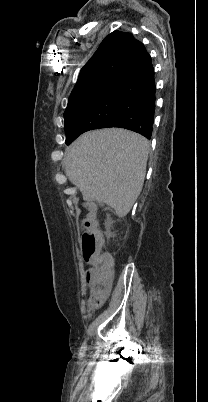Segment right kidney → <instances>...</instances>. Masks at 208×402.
<instances>
[{
    "instance_id": "obj_1",
    "label": "right kidney",
    "mask_w": 208,
    "mask_h": 402,
    "mask_svg": "<svg viewBox=\"0 0 208 402\" xmlns=\"http://www.w3.org/2000/svg\"><path fill=\"white\" fill-rule=\"evenodd\" d=\"M108 226H109V222H106V230H107V232H105V234H106L107 238H110L109 234H111V232H110Z\"/></svg>"
}]
</instances>
